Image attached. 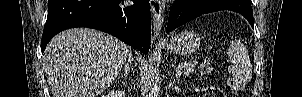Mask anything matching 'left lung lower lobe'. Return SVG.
Returning <instances> with one entry per match:
<instances>
[{
  "instance_id": "obj_1",
  "label": "left lung lower lobe",
  "mask_w": 302,
  "mask_h": 97,
  "mask_svg": "<svg viewBox=\"0 0 302 97\" xmlns=\"http://www.w3.org/2000/svg\"><path fill=\"white\" fill-rule=\"evenodd\" d=\"M230 10L243 15L253 27L250 0H175L170 10L167 32L206 13Z\"/></svg>"
}]
</instances>
